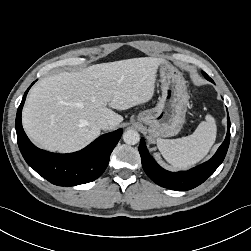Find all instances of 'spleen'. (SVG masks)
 <instances>
[{
  "label": "spleen",
  "instance_id": "spleen-1",
  "mask_svg": "<svg viewBox=\"0 0 251 251\" xmlns=\"http://www.w3.org/2000/svg\"><path fill=\"white\" fill-rule=\"evenodd\" d=\"M217 126L206 115L193 134L178 139H157V147L164 159L175 168H187L201 161L216 140Z\"/></svg>",
  "mask_w": 251,
  "mask_h": 251
}]
</instances>
